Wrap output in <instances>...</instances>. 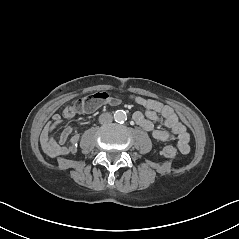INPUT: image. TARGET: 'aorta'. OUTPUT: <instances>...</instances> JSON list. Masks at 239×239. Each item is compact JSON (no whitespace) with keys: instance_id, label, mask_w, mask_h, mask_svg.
Returning a JSON list of instances; mask_svg holds the SVG:
<instances>
[{"instance_id":"1","label":"aorta","mask_w":239,"mask_h":239,"mask_svg":"<svg viewBox=\"0 0 239 239\" xmlns=\"http://www.w3.org/2000/svg\"><path fill=\"white\" fill-rule=\"evenodd\" d=\"M114 120L118 123L125 122L127 120L126 112L124 110L115 111Z\"/></svg>"}]
</instances>
